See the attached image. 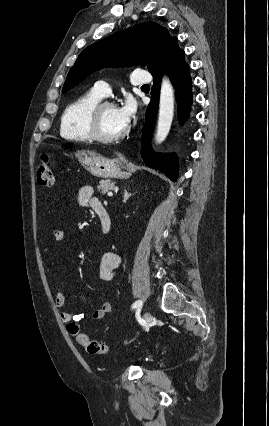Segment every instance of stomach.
Wrapping results in <instances>:
<instances>
[{
	"mask_svg": "<svg viewBox=\"0 0 269 426\" xmlns=\"http://www.w3.org/2000/svg\"><path fill=\"white\" fill-rule=\"evenodd\" d=\"M75 156L81 165L94 176L120 179H127L131 176V168L123 158L107 159L89 150L77 151Z\"/></svg>",
	"mask_w": 269,
	"mask_h": 426,
	"instance_id": "1",
	"label": "stomach"
}]
</instances>
